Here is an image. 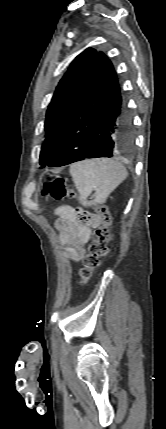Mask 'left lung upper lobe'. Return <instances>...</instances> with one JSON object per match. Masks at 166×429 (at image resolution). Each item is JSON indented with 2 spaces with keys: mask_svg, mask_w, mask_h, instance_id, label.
I'll list each match as a JSON object with an SVG mask.
<instances>
[{
  "mask_svg": "<svg viewBox=\"0 0 166 429\" xmlns=\"http://www.w3.org/2000/svg\"><path fill=\"white\" fill-rule=\"evenodd\" d=\"M95 55L96 50L91 47L80 53L56 87L46 112V139L42 144L39 160L41 167L50 159L63 135L75 104L90 77Z\"/></svg>",
  "mask_w": 166,
  "mask_h": 429,
  "instance_id": "left-lung-upper-lobe-1",
  "label": "left lung upper lobe"
}]
</instances>
